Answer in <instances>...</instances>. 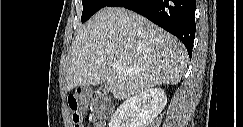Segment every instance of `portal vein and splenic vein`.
Wrapping results in <instances>:
<instances>
[{"label":"portal vein and splenic vein","instance_id":"18ae733b","mask_svg":"<svg viewBox=\"0 0 243 127\" xmlns=\"http://www.w3.org/2000/svg\"><path fill=\"white\" fill-rule=\"evenodd\" d=\"M113 69L116 70L117 72L121 73L124 72L125 74H132L133 70H126L121 64L119 63H114L112 65ZM137 72V71H135Z\"/></svg>","mask_w":243,"mask_h":127}]
</instances>
